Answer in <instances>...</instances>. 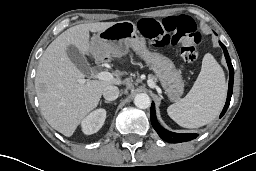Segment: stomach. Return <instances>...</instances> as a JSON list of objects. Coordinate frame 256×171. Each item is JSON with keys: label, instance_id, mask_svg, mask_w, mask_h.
<instances>
[{"label": "stomach", "instance_id": "obj_1", "mask_svg": "<svg viewBox=\"0 0 256 171\" xmlns=\"http://www.w3.org/2000/svg\"><path fill=\"white\" fill-rule=\"evenodd\" d=\"M95 38L99 50L111 47L116 52L125 54L129 48H132L154 72L171 101L178 100L182 96L184 82L181 72L175 68L171 59L147 49L145 38L138 35L137 27L133 22H116L100 31Z\"/></svg>", "mask_w": 256, "mask_h": 171}]
</instances>
